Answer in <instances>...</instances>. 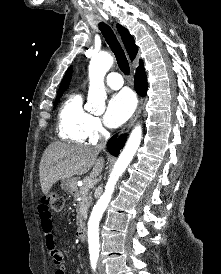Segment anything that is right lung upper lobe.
Returning <instances> with one entry per match:
<instances>
[{
  "mask_svg": "<svg viewBox=\"0 0 221 274\" xmlns=\"http://www.w3.org/2000/svg\"><path fill=\"white\" fill-rule=\"evenodd\" d=\"M117 30L121 36V39L125 45V48H126L128 54L130 56V59L133 60L136 57L137 51H138V48L134 42V38L130 35L129 31L126 28H124L123 26H121L119 24H117ZM143 67H144L143 62L140 60L139 67L137 69H141ZM71 75H72V68L70 67L67 70V72L60 84L59 91H58L57 95L62 94L68 88L70 80H71Z\"/></svg>",
  "mask_w": 221,
  "mask_h": 274,
  "instance_id": "cb5924a9",
  "label": "right lung upper lobe"
}]
</instances>
